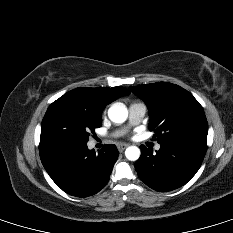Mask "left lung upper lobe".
Masks as SVG:
<instances>
[{"label": "left lung upper lobe", "mask_w": 233, "mask_h": 233, "mask_svg": "<svg viewBox=\"0 0 233 233\" xmlns=\"http://www.w3.org/2000/svg\"><path fill=\"white\" fill-rule=\"evenodd\" d=\"M148 107L149 129L159 144L183 140L207 141L208 124L204 110L184 88L157 82L129 88Z\"/></svg>", "instance_id": "5c2ea615"}]
</instances>
